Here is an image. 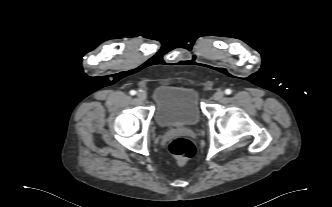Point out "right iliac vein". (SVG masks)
<instances>
[{
    "label": "right iliac vein",
    "mask_w": 332,
    "mask_h": 207,
    "mask_svg": "<svg viewBox=\"0 0 332 207\" xmlns=\"http://www.w3.org/2000/svg\"><path fill=\"white\" fill-rule=\"evenodd\" d=\"M137 98L140 100V101H145L146 98H147V95L145 92H138L137 93Z\"/></svg>",
    "instance_id": "63e3f726"
}]
</instances>
